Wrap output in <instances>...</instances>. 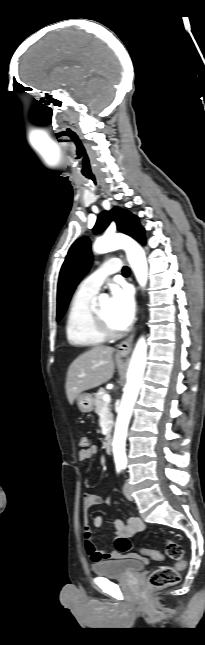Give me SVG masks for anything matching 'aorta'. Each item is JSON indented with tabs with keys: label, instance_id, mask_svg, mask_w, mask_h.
I'll list each match as a JSON object with an SVG mask.
<instances>
[{
	"label": "aorta",
	"instance_id": "obj_1",
	"mask_svg": "<svg viewBox=\"0 0 205 645\" xmlns=\"http://www.w3.org/2000/svg\"><path fill=\"white\" fill-rule=\"evenodd\" d=\"M93 248L98 254L107 253L116 249H124L138 283L142 287H145L148 277V265L145 252L137 242L124 235H105L96 240ZM100 298L105 300L107 295L102 294ZM146 358L147 344L145 338L141 337L132 354L127 373V384L124 389L116 420L113 438V454L116 464L124 465L127 461L125 453L127 429L132 415L133 406L139 393L141 380L146 366Z\"/></svg>",
	"mask_w": 205,
	"mask_h": 645
}]
</instances>
